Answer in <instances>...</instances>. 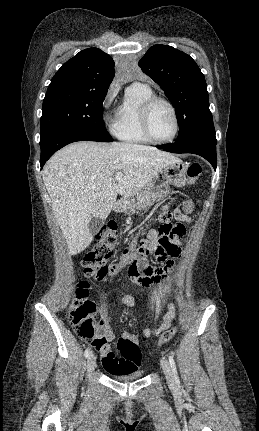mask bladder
<instances>
[{"instance_id": "31cf9c89", "label": "bladder", "mask_w": 259, "mask_h": 431, "mask_svg": "<svg viewBox=\"0 0 259 431\" xmlns=\"http://www.w3.org/2000/svg\"><path fill=\"white\" fill-rule=\"evenodd\" d=\"M110 377L119 382H132L141 379L144 375L141 371L108 372Z\"/></svg>"}]
</instances>
